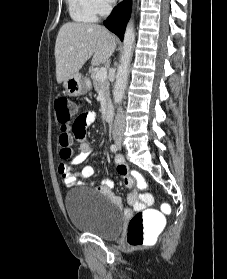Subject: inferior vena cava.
Here are the masks:
<instances>
[{
  "mask_svg": "<svg viewBox=\"0 0 227 279\" xmlns=\"http://www.w3.org/2000/svg\"><path fill=\"white\" fill-rule=\"evenodd\" d=\"M124 130H125V117L122 108H119L114 120L113 132H112L113 136L117 137L123 134Z\"/></svg>",
  "mask_w": 227,
  "mask_h": 279,
  "instance_id": "obj_1",
  "label": "inferior vena cava"
}]
</instances>
